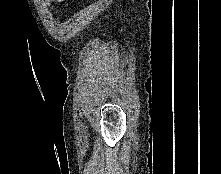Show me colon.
Wrapping results in <instances>:
<instances>
[{"instance_id":"5ec220e1","label":"colon","mask_w":221,"mask_h":174,"mask_svg":"<svg viewBox=\"0 0 221 174\" xmlns=\"http://www.w3.org/2000/svg\"><path fill=\"white\" fill-rule=\"evenodd\" d=\"M52 1H54V2H61V1H63V0H52Z\"/></svg>"}]
</instances>
